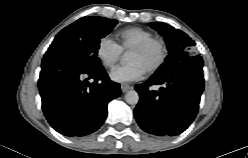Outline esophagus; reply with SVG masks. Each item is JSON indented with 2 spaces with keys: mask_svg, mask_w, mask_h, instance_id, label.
<instances>
[{
  "mask_svg": "<svg viewBox=\"0 0 248 158\" xmlns=\"http://www.w3.org/2000/svg\"><path fill=\"white\" fill-rule=\"evenodd\" d=\"M132 87L128 84H122L121 85V90L123 93L127 92L128 90H130Z\"/></svg>",
  "mask_w": 248,
  "mask_h": 158,
  "instance_id": "esophagus-1",
  "label": "esophagus"
}]
</instances>
